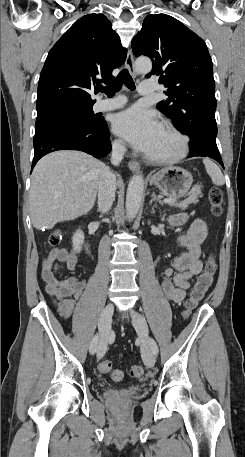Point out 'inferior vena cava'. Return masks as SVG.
Returning <instances> with one entry per match:
<instances>
[{"instance_id":"602c4592","label":"inferior vena cava","mask_w":245,"mask_h":457,"mask_svg":"<svg viewBox=\"0 0 245 457\" xmlns=\"http://www.w3.org/2000/svg\"><path fill=\"white\" fill-rule=\"evenodd\" d=\"M126 146L122 140H115L112 144L111 162L112 164H119L125 154ZM116 190V176L110 170L102 172L99 178L98 188V206L101 212L110 210Z\"/></svg>"}]
</instances>
